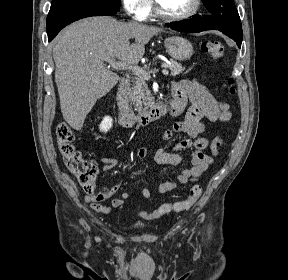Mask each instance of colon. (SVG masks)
Masks as SVG:
<instances>
[{
  "mask_svg": "<svg viewBox=\"0 0 288 280\" xmlns=\"http://www.w3.org/2000/svg\"><path fill=\"white\" fill-rule=\"evenodd\" d=\"M202 51L212 60H219L224 55V46L217 40H205L201 44ZM230 93H234V82L228 81ZM57 143L60 154L66 167L76 176L79 184L88 193L94 195L98 169L94 163L85 159L75 147V134L73 129L65 122H60L56 128ZM219 140L217 146H222ZM203 188L196 184L190 189L187 199L174 203L162 204L152 212L140 211L138 214L143 219L151 220L160 218L170 212H183L190 209L201 197Z\"/></svg>",
  "mask_w": 288,
  "mask_h": 280,
  "instance_id": "5ec220e1",
  "label": "colon"
}]
</instances>
